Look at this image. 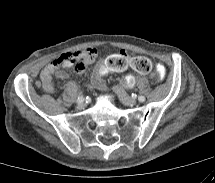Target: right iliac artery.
I'll return each instance as SVG.
<instances>
[{
	"label": "right iliac artery",
	"mask_w": 215,
	"mask_h": 183,
	"mask_svg": "<svg viewBox=\"0 0 215 183\" xmlns=\"http://www.w3.org/2000/svg\"><path fill=\"white\" fill-rule=\"evenodd\" d=\"M83 100H84L83 95H81V96H79V97L77 98V103H80V102H82Z\"/></svg>",
	"instance_id": "1"
}]
</instances>
